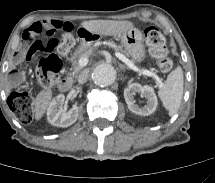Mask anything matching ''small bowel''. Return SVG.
Here are the masks:
<instances>
[{
	"label": "small bowel",
	"mask_w": 215,
	"mask_h": 183,
	"mask_svg": "<svg viewBox=\"0 0 215 183\" xmlns=\"http://www.w3.org/2000/svg\"><path fill=\"white\" fill-rule=\"evenodd\" d=\"M72 29V26L70 23L63 22L60 20H43L39 22H35L30 25V27L26 30V37H30L35 35L39 31H49L51 33H55L59 30H66ZM22 81V77L18 74H14L13 78L11 79V85L17 86Z\"/></svg>",
	"instance_id": "small-bowel-1"
}]
</instances>
